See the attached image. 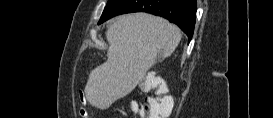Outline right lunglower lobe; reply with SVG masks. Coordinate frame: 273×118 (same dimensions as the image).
Returning <instances> with one entry per match:
<instances>
[{
  "label": "right lung lower lobe",
  "instance_id": "98d812e1",
  "mask_svg": "<svg viewBox=\"0 0 273 118\" xmlns=\"http://www.w3.org/2000/svg\"><path fill=\"white\" fill-rule=\"evenodd\" d=\"M196 10V0H121L110 15L98 23L120 14L147 12L176 24L190 41L194 32Z\"/></svg>",
  "mask_w": 273,
  "mask_h": 118
}]
</instances>
